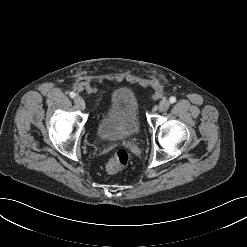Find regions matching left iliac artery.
Wrapping results in <instances>:
<instances>
[{
    "label": "left iliac artery",
    "mask_w": 247,
    "mask_h": 247,
    "mask_svg": "<svg viewBox=\"0 0 247 247\" xmlns=\"http://www.w3.org/2000/svg\"><path fill=\"white\" fill-rule=\"evenodd\" d=\"M170 103H175L176 102V97L172 96L169 99Z\"/></svg>",
    "instance_id": "44dca946"
}]
</instances>
